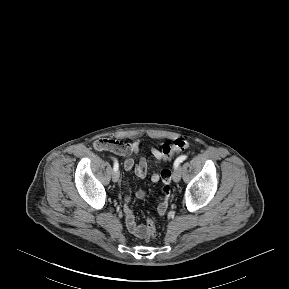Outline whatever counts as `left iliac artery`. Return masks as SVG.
Here are the masks:
<instances>
[{
	"mask_svg": "<svg viewBox=\"0 0 289 289\" xmlns=\"http://www.w3.org/2000/svg\"><path fill=\"white\" fill-rule=\"evenodd\" d=\"M187 159V156L186 155H181V156H179L176 160H175V162H174V168L176 169V168H178V166L184 161V160H186Z\"/></svg>",
	"mask_w": 289,
	"mask_h": 289,
	"instance_id": "left-iliac-artery-1",
	"label": "left iliac artery"
}]
</instances>
